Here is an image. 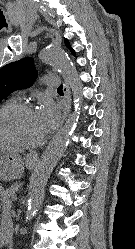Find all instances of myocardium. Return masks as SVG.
<instances>
[{
  "label": "myocardium",
  "mask_w": 135,
  "mask_h": 249,
  "mask_svg": "<svg viewBox=\"0 0 135 249\" xmlns=\"http://www.w3.org/2000/svg\"><path fill=\"white\" fill-rule=\"evenodd\" d=\"M31 110H34V106H33V104L28 103V102H16V103H13V104L7 106L6 108H4L0 112V135L3 136L4 138L10 140L14 144H17L20 146L30 147V148L39 146L44 140L43 136L36 141H26V140H23L22 138H20L6 124V120L10 116H12L16 113H19V112L31 111Z\"/></svg>",
  "instance_id": "myocardium-1"
}]
</instances>
